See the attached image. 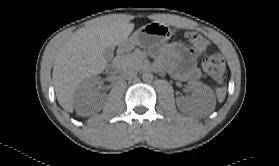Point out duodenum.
I'll return each mask as SVG.
<instances>
[{"instance_id": "obj_1", "label": "duodenum", "mask_w": 279, "mask_h": 166, "mask_svg": "<svg viewBox=\"0 0 279 166\" xmlns=\"http://www.w3.org/2000/svg\"><path fill=\"white\" fill-rule=\"evenodd\" d=\"M132 45L131 43L127 42L124 43L119 49L118 52L112 61V63L109 65V72L111 74H116L120 71L123 65V59L125 54L131 49Z\"/></svg>"}]
</instances>
